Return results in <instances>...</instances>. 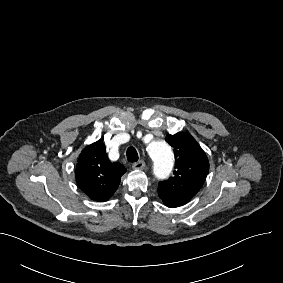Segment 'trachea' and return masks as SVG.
<instances>
[{
    "instance_id": "trachea-1",
    "label": "trachea",
    "mask_w": 283,
    "mask_h": 283,
    "mask_svg": "<svg viewBox=\"0 0 283 283\" xmlns=\"http://www.w3.org/2000/svg\"><path fill=\"white\" fill-rule=\"evenodd\" d=\"M126 156H127V160L129 162H136L139 159V155L137 153V150L133 146H130L127 149Z\"/></svg>"
}]
</instances>
